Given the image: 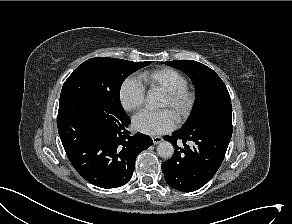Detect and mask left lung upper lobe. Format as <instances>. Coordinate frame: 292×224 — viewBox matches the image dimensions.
Wrapping results in <instances>:
<instances>
[{
    "label": "left lung upper lobe",
    "instance_id": "5c2ea615",
    "mask_svg": "<svg viewBox=\"0 0 292 224\" xmlns=\"http://www.w3.org/2000/svg\"><path fill=\"white\" fill-rule=\"evenodd\" d=\"M164 63L185 72L195 85V110L182 130L205 131L217 127H232L231 99L224 82L215 71L192 60Z\"/></svg>",
    "mask_w": 292,
    "mask_h": 224
}]
</instances>
